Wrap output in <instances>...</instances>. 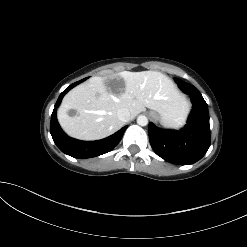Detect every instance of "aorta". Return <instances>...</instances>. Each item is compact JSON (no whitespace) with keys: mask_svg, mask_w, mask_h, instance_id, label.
<instances>
[{"mask_svg":"<svg viewBox=\"0 0 247 247\" xmlns=\"http://www.w3.org/2000/svg\"><path fill=\"white\" fill-rule=\"evenodd\" d=\"M137 123H138V125H140V126H146V125L148 124V119H147L146 116L140 115V116H138V118H137Z\"/></svg>","mask_w":247,"mask_h":247,"instance_id":"762f6f07","label":"aorta"}]
</instances>
